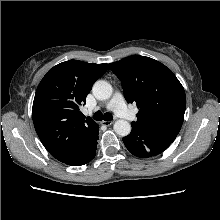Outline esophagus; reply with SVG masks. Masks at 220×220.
Listing matches in <instances>:
<instances>
[{
	"label": "esophagus",
	"mask_w": 220,
	"mask_h": 220,
	"mask_svg": "<svg viewBox=\"0 0 220 220\" xmlns=\"http://www.w3.org/2000/svg\"><path fill=\"white\" fill-rule=\"evenodd\" d=\"M102 123L104 125H106V126H110V125H112L114 123V121L113 120H111V121H103Z\"/></svg>",
	"instance_id": "1"
}]
</instances>
